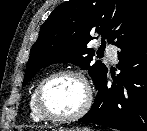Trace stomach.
I'll return each instance as SVG.
<instances>
[{
    "label": "stomach",
    "instance_id": "1",
    "mask_svg": "<svg viewBox=\"0 0 147 131\" xmlns=\"http://www.w3.org/2000/svg\"><path fill=\"white\" fill-rule=\"evenodd\" d=\"M53 131H93L90 128H72V129H68V128H64V127H60L56 130Z\"/></svg>",
    "mask_w": 147,
    "mask_h": 131
}]
</instances>
